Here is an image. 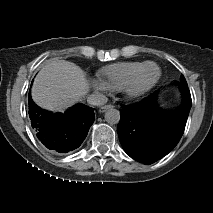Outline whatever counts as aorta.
Listing matches in <instances>:
<instances>
[{
  "mask_svg": "<svg viewBox=\"0 0 213 213\" xmlns=\"http://www.w3.org/2000/svg\"><path fill=\"white\" fill-rule=\"evenodd\" d=\"M105 121L110 125L118 124L120 121V112L119 110L109 107L104 115Z\"/></svg>",
  "mask_w": 213,
  "mask_h": 213,
  "instance_id": "762f6f07",
  "label": "aorta"
}]
</instances>
